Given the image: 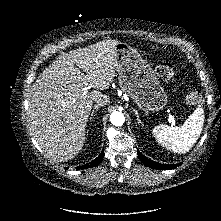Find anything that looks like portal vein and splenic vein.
Masks as SVG:
<instances>
[{"label": "portal vein and splenic vein", "instance_id": "portal-vein-and-splenic-vein-1", "mask_svg": "<svg viewBox=\"0 0 221 221\" xmlns=\"http://www.w3.org/2000/svg\"><path fill=\"white\" fill-rule=\"evenodd\" d=\"M87 90H88V87H84V88L82 89V91H84V92H86ZM168 120H169V122L172 124V126L175 125V119H174L173 116L169 115Z\"/></svg>", "mask_w": 221, "mask_h": 221}]
</instances>
